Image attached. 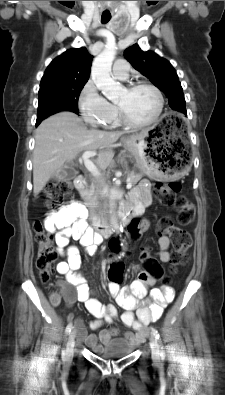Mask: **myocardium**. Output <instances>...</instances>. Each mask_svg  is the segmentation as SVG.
<instances>
[{
	"instance_id": "1",
	"label": "myocardium",
	"mask_w": 225,
	"mask_h": 395,
	"mask_svg": "<svg viewBox=\"0 0 225 395\" xmlns=\"http://www.w3.org/2000/svg\"><path fill=\"white\" fill-rule=\"evenodd\" d=\"M139 88H147L150 89L154 92L156 99H157V109L155 114L147 121L144 122H135L132 121L131 119L128 118V116L126 115L124 109L117 104V109L119 112V117L121 122L128 126V127H132V128H144V127H148L153 125L154 123H156L159 119V117L162 114L163 111V107H164V100H163V96L161 91L153 84L149 83V82H145V81H138V82H134L129 84L126 89L128 91H134L136 89Z\"/></svg>"
}]
</instances>
